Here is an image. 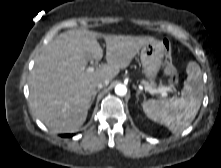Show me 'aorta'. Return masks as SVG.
Wrapping results in <instances>:
<instances>
[{
  "label": "aorta",
  "mask_w": 221,
  "mask_h": 168,
  "mask_svg": "<svg viewBox=\"0 0 221 168\" xmlns=\"http://www.w3.org/2000/svg\"><path fill=\"white\" fill-rule=\"evenodd\" d=\"M115 93L118 96H125L127 93V87L123 84H118L115 86Z\"/></svg>",
  "instance_id": "aorta-1"
}]
</instances>
